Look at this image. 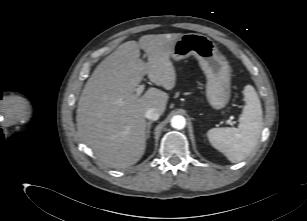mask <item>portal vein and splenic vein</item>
Wrapping results in <instances>:
<instances>
[{"label": "portal vein and splenic vein", "mask_w": 307, "mask_h": 221, "mask_svg": "<svg viewBox=\"0 0 307 221\" xmlns=\"http://www.w3.org/2000/svg\"><path fill=\"white\" fill-rule=\"evenodd\" d=\"M144 89H145V85H144V84L140 85V86L136 89V95H137V96H140V95L143 93ZM119 104H124V101H119ZM227 122H228L229 124H232V121H231L230 119H229Z\"/></svg>", "instance_id": "portal-vein-and-splenic-vein-1"}]
</instances>
